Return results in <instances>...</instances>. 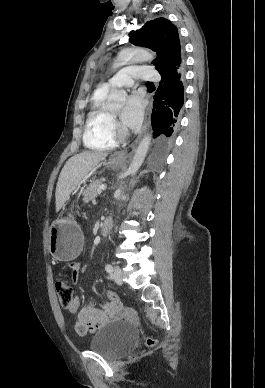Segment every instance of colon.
<instances>
[{"instance_id": "5ec220e1", "label": "colon", "mask_w": 265, "mask_h": 388, "mask_svg": "<svg viewBox=\"0 0 265 388\" xmlns=\"http://www.w3.org/2000/svg\"><path fill=\"white\" fill-rule=\"evenodd\" d=\"M55 289L60 304L64 307H69L73 300V289L70 282L66 278L58 279L55 283ZM107 298L113 304H120V297L116 292H107ZM146 343L148 346L152 347L156 344V340L148 338Z\"/></svg>"}]
</instances>
